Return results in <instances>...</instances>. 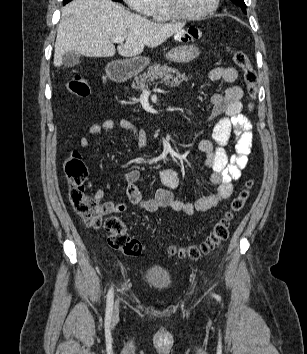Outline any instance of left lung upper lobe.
Masks as SVG:
<instances>
[{
    "instance_id": "left-lung-upper-lobe-1",
    "label": "left lung upper lobe",
    "mask_w": 307,
    "mask_h": 354,
    "mask_svg": "<svg viewBox=\"0 0 307 354\" xmlns=\"http://www.w3.org/2000/svg\"><path fill=\"white\" fill-rule=\"evenodd\" d=\"M235 4L239 5L243 12L246 13V5H245V2L244 0H232Z\"/></svg>"
}]
</instances>
